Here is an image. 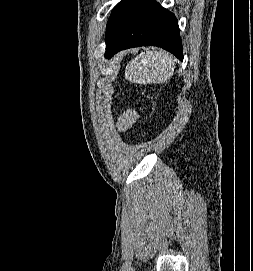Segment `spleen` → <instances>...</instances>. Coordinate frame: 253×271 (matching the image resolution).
Here are the masks:
<instances>
[{
  "mask_svg": "<svg viewBox=\"0 0 253 271\" xmlns=\"http://www.w3.org/2000/svg\"><path fill=\"white\" fill-rule=\"evenodd\" d=\"M174 59L165 51L147 50L126 66L125 79L133 83H165L174 73Z\"/></svg>",
  "mask_w": 253,
  "mask_h": 271,
  "instance_id": "obj_1",
  "label": "spleen"
}]
</instances>
